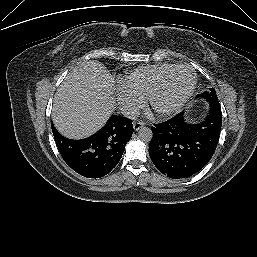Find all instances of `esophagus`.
<instances>
[{
	"label": "esophagus",
	"mask_w": 257,
	"mask_h": 257,
	"mask_svg": "<svg viewBox=\"0 0 257 257\" xmlns=\"http://www.w3.org/2000/svg\"><path fill=\"white\" fill-rule=\"evenodd\" d=\"M144 126V123L143 122H141V121H138V122H134L133 123V128H134V130L135 131H138L141 127H143Z\"/></svg>",
	"instance_id": "1"
}]
</instances>
